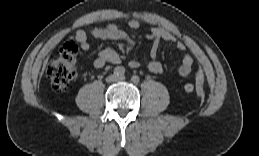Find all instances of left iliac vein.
Here are the masks:
<instances>
[{"mask_svg": "<svg viewBox=\"0 0 259 156\" xmlns=\"http://www.w3.org/2000/svg\"><path fill=\"white\" fill-rule=\"evenodd\" d=\"M117 80H118V81H124V80H125V76H123V75H122V76H119V77L117 78Z\"/></svg>", "mask_w": 259, "mask_h": 156, "instance_id": "left-iliac-vein-1", "label": "left iliac vein"}]
</instances>
